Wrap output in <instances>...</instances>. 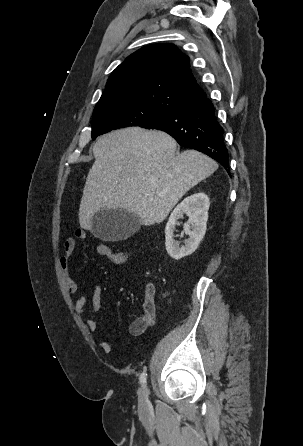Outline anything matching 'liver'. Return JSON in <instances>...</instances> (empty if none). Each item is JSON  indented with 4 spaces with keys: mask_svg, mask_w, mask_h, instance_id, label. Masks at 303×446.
<instances>
[{
    "mask_svg": "<svg viewBox=\"0 0 303 446\" xmlns=\"http://www.w3.org/2000/svg\"><path fill=\"white\" fill-rule=\"evenodd\" d=\"M176 148L168 134L140 127L101 136L93 147L95 162L83 190L80 226L91 230L101 209H125L146 226L164 221L188 190L218 168L198 151L176 154Z\"/></svg>",
    "mask_w": 303,
    "mask_h": 446,
    "instance_id": "1",
    "label": "liver"
}]
</instances>
